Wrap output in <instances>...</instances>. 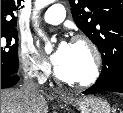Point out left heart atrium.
<instances>
[{"label": "left heart atrium", "mask_w": 123, "mask_h": 113, "mask_svg": "<svg viewBox=\"0 0 123 113\" xmlns=\"http://www.w3.org/2000/svg\"><path fill=\"white\" fill-rule=\"evenodd\" d=\"M69 49H70V45L67 42L62 41L57 46L55 52L53 53L51 57L52 62L57 66L63 63L68 56Z\"/></svg>", "instance_id": "1"}]
</instances>
